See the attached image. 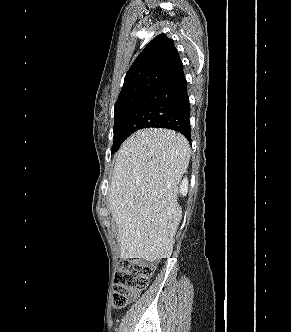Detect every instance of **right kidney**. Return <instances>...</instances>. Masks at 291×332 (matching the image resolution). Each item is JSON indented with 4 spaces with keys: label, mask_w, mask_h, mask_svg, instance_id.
<instances>
[{
    "label": "right kidney",
    "mask_w": 291,
    "mask_h": 332,
    "mask_svg": "<svg viewBox=\"0 0 291 332\" xmlns=\"http://www.w3.org/2000/svg\"><path fill=\"white\" fill-rule=\"evenodd\" d=\"M188 190V180L187 178H184L182 181V184L180 185V193L182 195H186Z\"/></svg>",
    "instance_id": "obj_1"
}]
</instances>
